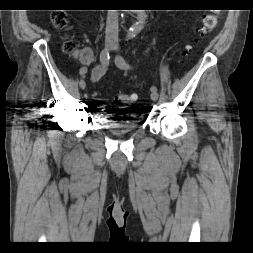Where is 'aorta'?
Returning <instances> with one entry per match:
<instances>
[{"label":"aorta","mask_w":253,"mask_h":253,"mask_svg":"<svg viewBox=\"0 0 253 253\" xmlns=\"http://www.w3.org/2000/svg\"><path fill=\"white\" fill-rule=\"evenodd\" d=\"M137 15H138V21L131 26L130 32H129L130 36L138 34L143 29V25L147 18L145 10H137Z\"/></svg>","instance_id":"obj_1"}]
</instances>
